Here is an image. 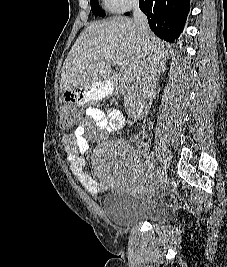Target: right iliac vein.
I'll use <instances>...</instances> for the list:
<instances>
[{
  "mask_svg": "<svg viewBox=\"0 0 227 267\" xmlns=\"http://www.w3.org/2000/svg\"><path fill=\"white\" fill-rule=\"evenodd\" d=\"M161 172L160 174L158 175V178H157V185L158 186H161V184H163L166 180V177H167V168L166 166L162 165L161 166Z\"/></svg>",
  "mask_w": 227,
  "mask_h": 267,
  "instance_id": "63e3f726",
  "label": "right iliac vein"
}]
</instances>
